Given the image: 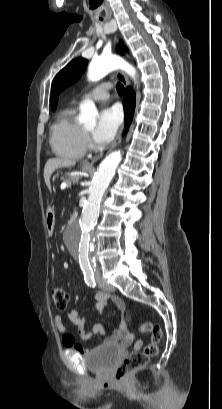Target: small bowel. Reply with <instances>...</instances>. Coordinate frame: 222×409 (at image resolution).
Masks as SVG:
<instances>
[{"label": "small bowel", "mask_w": 222, "mask_h": 409, "mask_svg": "<svg viewBox=\"0 0 222 409\" xmlns=\"http://www.w3.org/2000/svg\"><path fill=\"white\" fill-rule=\"evenodd\" d=\"M111 302L114 308L117 310L121 316V322L117 329L113 330L110 334H107V329L100 324H95L91 332H87L84 329V318L80 315L78 310H70L68 312V318L78 329V337L82 340H88L93 335L100 334L103 337L102 344H115L120 343L121 346L129 348L134 346V348H140L142 346V341L134 342V335L127 326L126 321L124 320L125 314V304L121 298L118 296H112L104 291H99L95 294L93 298V305L97 312L101 315L107 306ZM55 323L58 330L61 333L65 332V326L62 322L60 315L55 316ZM67 347L73 348L81 354H85L88 350L78 343L74 337L67 336V340L63 341Z\"/></svg>", "instance_id": "obj_1"}]
</instances>
